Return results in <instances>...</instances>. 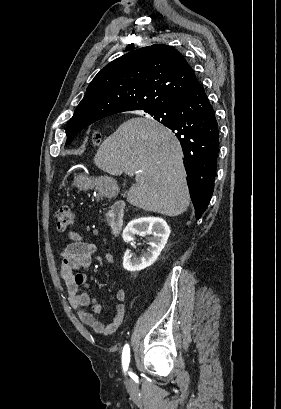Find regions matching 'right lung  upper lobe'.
Masks as SVG:
<instances>
[{
    "label": "right lung upper lobe",
    "mask_w": 281,
    "mask_h": 409,
    "mask_svg": "<svg viewBox=\"0 0 281 409\" xmlns=\"http://www.w3.org/2000/svg\"><path fill=\"white\" fill-rule=\"evenodd\" d=\"M198 86L193 69L173 47L156 44L133 50L95 76L67 127H87L124 111L161 109Z\"/></svg>",
    "instance_id": "1"
}]
</instances>
